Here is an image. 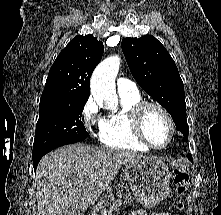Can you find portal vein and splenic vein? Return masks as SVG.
Returning <instances> with one entry per match:
<instances>
[{"instance_id": "18ae733b", "label": "portal vein and splenic vein", "mask_w": 221, "mask_h": 215, "mask_svg": "<svg viewBox=\"0 0 221 215\" xmlns=\"http://www.w3.org/2000/svg\"><path fill=\"white\" fill-rule=\"evenodd\" d=\"M92 177V176H91ZM102 215H106V210L102 211Z\"/></svg>"}]
</instances>
